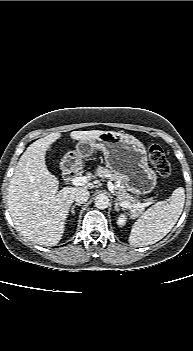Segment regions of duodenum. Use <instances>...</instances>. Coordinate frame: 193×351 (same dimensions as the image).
Masks as SVG:
<instances>
[{"label": "duodenum", "mask_w": 193, "mask_h": 351, "mask_svg": "<svg viewBox=\"0 0 193 351\" xmlns=\"http://www.w3.org/2000/svg\"><path fill=\"white\" fill-rule=\"evenodd\" d=\"M80 174V166L73 158H66L63 164V175L67 180H72Z\"/></svg>", "instance_id": "duodenum-1"}]
</instances>
